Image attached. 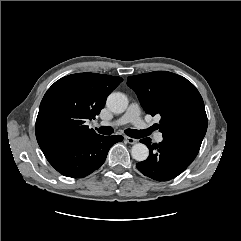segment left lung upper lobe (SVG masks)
<instances>
[{"label":"left lung upper lobe","mask_w":241,"mask_h":241,"mask_svg":"<svg viewBox=\"0 0 241 241\" xmlns=\"http://www.w3.org/2000/svg\"><path fill=\"white\" fill-rule=\"evenodd\" d=\"M127 85L146 113L161 116L157 126L163 136H205L208 122L204 102L186 78L155 71L129 76Z\"/></svg>","instance_id":"5c2ea615"}]
</instances>
